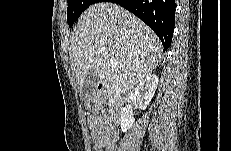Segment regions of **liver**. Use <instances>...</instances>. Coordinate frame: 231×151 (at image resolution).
I'll list each match as a JSON object with an SVG mask.
<instances>
[{"label": "liver", "instance_id": "6515ba94", "mask_svg": "<svg viewBox=\"0 0 231 151\" xmlns=\"http://www.w3.org/2000/svg\"><path fill=\"white\" fill-rule=\"evenodd\" d=\"M161 54L162 44L156 34L128 10L111 2L96 3L82 14L69 49L80 91L90 73L116 92L132 88L152 73Z\"/></svg>", "mask_w": 231, "mask_h": 151}]
</instances>
